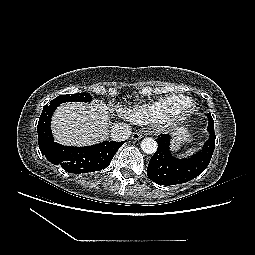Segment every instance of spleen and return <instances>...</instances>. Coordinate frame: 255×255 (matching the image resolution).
I'll return each instance as SVG.
<instances>
[{"mask_svg":"<svg viewBox=\"0 0 255 255\" xmlns=\"http://www.w3.org/2000/svg\"><path fill=\"white\" fill-rule=\"evenodd\" d=\"M197 150V148H190L186 151V154L182 153V154H179V157H186V156H189V155H193V153Z\"/></svg>","mask_w":255,"mask_h":255,"instance_id":"spleen-1","label":"spleen"}]
</instances>
